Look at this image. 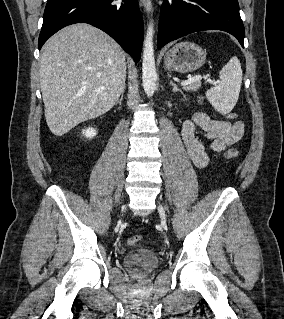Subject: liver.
I'll use <instances>...</instances> for the list:
<instances>
[{"label":"liver","instance_id":"6515ba94","mask_svg":"<svg viewBox=\"0 0 284 319\" xmlns=\"http://www.w3.org/2000/svg\"><path fill=\"white\" fill-rule=\"evenodd\" d=\"M39 76L47 125L62 136L115 105L125 86V52L91 25H70L44 44Z\"/></svg>","mask_w":284,"mask_h":319}]
</instances>
